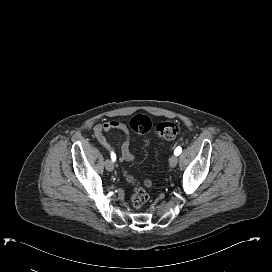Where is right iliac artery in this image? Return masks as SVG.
<instances>
[{"label":"right iliac artery","mask_w":272,"mask_h":272,"mask_svg":"<svg viewBox=\"0 0 272 272\" xmlns=\"http://www.w3.org/2000/svg\"><path fill=\"white\" fill-rule=\"evenodd\" d=\"M111 159L113 162L116 160V154L114 152H111Z\"/></svg>","instance_id":"82829eb1"}]
</instances>
